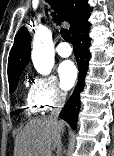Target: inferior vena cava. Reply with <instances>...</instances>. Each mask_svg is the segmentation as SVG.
I'll return each mask as SVG.
<instances>
[{
  "label": "inferior vena cava",
  "instance_id": "602c4592",
  "mask_svg": "<svg viewBox=\"0 0 114 156\" xmlns=\"http://www.w3.org/2000/svg\"><path fill=\"white\" fill-rule=\"evenodd\" d=\"M65 101H66L65 93L58 92L56 94L54 108L51 110V113L49 116L51 119L56 120V121L58 120L59 113L61 109L63 108Z\"/></svg>",
  "mask_w": 114,
  "mask_h": 156
}]
</instances>
